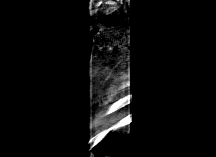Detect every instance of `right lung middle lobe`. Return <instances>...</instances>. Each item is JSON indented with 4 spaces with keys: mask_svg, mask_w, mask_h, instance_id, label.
Here are the masks:
<instances>
[{
    "mask_svg": "<svg viewBox=\"0 0 216 157\" xmlns=\"http://www.w3.org/2000/svg\"><path fill=\"white\" fill-rule=\"evenodd\" d=\"M102 140H103L102 138L99 139V140L97 139V140H96V145H97L98 143H100Z\"/></svg>",
    "mask_w": 216,
    "mask_h": 157,
    "instance_id": "1",
    "label": "right lung middle lobe"
}]
</instances>
